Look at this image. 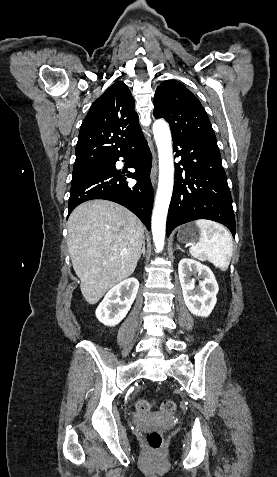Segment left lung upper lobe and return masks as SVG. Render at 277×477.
Instances as JSON below:
<instances>
[{
    "instance_id": "left-lung-upper-lobe-1",
    "label": "left lung upper lobe",
    "mask_w": 277,
    "mask_h": 477,
    "mask_svg": "<svg viewBox=\"0 0 277 477\" xmlns=\"http://www.w3.org/2000/svg\"><path fill=\"white\" fill-rule=\"evenodd\" d=\"M154 116L169 122L172 136L216 138L202 104L180 82L165 81L157 87Z\"/></svg>"
}]
</instances>
